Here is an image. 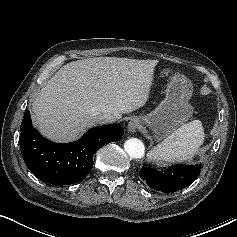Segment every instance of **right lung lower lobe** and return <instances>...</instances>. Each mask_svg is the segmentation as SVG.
Wrapping results in <instances>:
<instances>
[{
    "label": "right lung lower lobe",
    "instance_id": "obj_1",
    "mask_svg": "<svg viewBox=\"0 0 237 237\" xmlns=\"http://www.w3.org/2000/svg\"><path fill=\"white\" fill-rule=\"evenodd\" d=\"M19 137L20 149L28 169L39 179L53 185H69L83 180L93 167V155L105 144L122 139L117 124L98 126L71 143L59 144L42 137L33 128L25 111Z\"/></svg>",
    "mask_w": 237,
    "mask_h": 237
}]
</instances>
